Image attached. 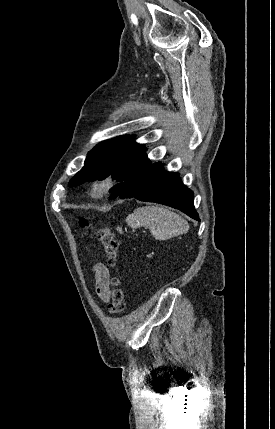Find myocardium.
<instances>
[{"label": "myocardium", "instance_id": "f54148a6", "mask_svg": "<svg viewBox=\"0 0 275 429\" xmlns=\"http://www.w3.org/2000/svg\"><path fill=\"white\" fill-rule=\"evenodd\" d=\"M116 185L117 181L111 176L99 178L92 183L90 194L95 199H102L109 195Z\"/></svg>", "mask_w": 275, "mask_h": 429}]
</instances>
